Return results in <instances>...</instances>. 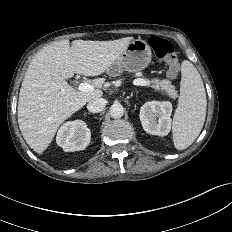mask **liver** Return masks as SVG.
<instances>
[{
  "mask_svg": "<svg viewBox=\"0 0 232 232\" xmlns=\"http://www.w3.org/2000/svg\"><path fill=\"white\" fill-rule=\"evenodd\" d=\"M133 37L113 41L60 40L32 59L18 101V124L26 143L42 154L58 127L87 102L103 95V79L93 80L91 92L76 91L67 82L75 74L98 76L123 53Z\"/></svg>",
  "mask_w": 232,
  "mask_h": 232,
  "instance_id": "1",
  "label": "liver"
}]
</instances>
